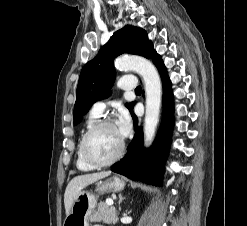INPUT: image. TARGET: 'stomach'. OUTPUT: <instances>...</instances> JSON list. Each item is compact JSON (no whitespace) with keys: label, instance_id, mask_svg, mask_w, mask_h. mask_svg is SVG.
<instances>
[{"label":"stomach","instance_id":"stomach-1","mask_svg":"<svg viewBox=\"0 0 247 226\" xmlns=\"http://www.w3.org/2000/svg\"><path fill=\"white\" fill-rule=\"evenodd\" d=\"M124 186L125 182L121 178L113 176L105 181L97 182L95 191L99 194L110 191L119 192L124 189ZM96 204L97 198L94 193L87 190L80 191L72 204L63 226H89V220Z\"/></svg>","mask_w":247,"mask_h":226}]
</instances>
